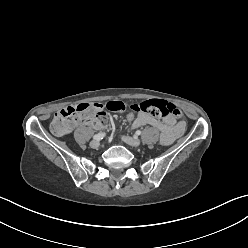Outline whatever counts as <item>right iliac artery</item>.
I'll list each match as a JSON object with an SVG mask.
<instances>
[{"label":"right iliac artery","mask_w":248,"mask_h":248,"mask_svg":"<svg viewBox=\"0 0 248 248\" xmlns=\"http://www.w3.org/2000/svg\"><path fill=\"white\" fill-rule=\"evenodd\" d=\"M104 136H105V133H98V134L94 135L93 139L101 140V139H103Z\"/></svg>","instance_id":"right-iliac-artery-1"}]
</instances>
